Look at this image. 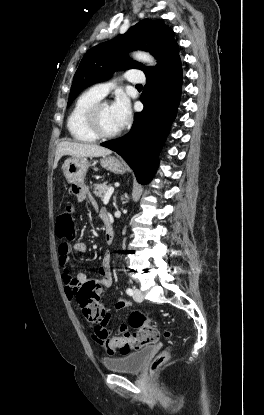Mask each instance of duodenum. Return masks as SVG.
<instances>
[{"label":"duodenum","mask_w":264,"mask_h":415,"mask_svg":"<svg viewBox=\"0 0 264 415\" xmlns=\"http://www.w3.org/2000/svg\"><path fill=\"white\" fill-rule=\"evenodd\" d=\"M105 239L107 244H112L114 240V231L111 225L110 217H107L105 220Z\"/></svg>","instance_id":"obj_1"}]
</instances>
